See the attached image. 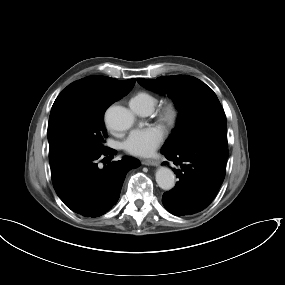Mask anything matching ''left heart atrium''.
Segmentation results:
<instances>
[{
  "label": "left heart atrium",
  "mask_w": 285,
  "mask_h": 285,
  "mask_svg": "<svg viewBox=\"0 0 285 285\" xmlns=\"http://www.w3.org/2000/svg\"><path fill=\"white\" fill-rule=\"evenodd\" d=\"M164 130L157 125L132 130L123 142L124 150L137 157L154 153L164 140Z\"/></svg>",
  "instance_id": "left-heart-atrium-1"
}]
</instances>
